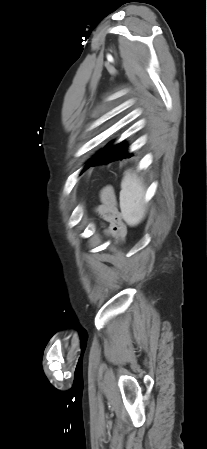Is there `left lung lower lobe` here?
Returning <instances> with one entry per match:
<instances>
[{"instance_id": "obj_1", "label": "left lung lower lobe", "mask_w": 207, "mask_h": 449, "mask_svg": "<svg viewBox=\"0 0 207 449\" xmlns=\"http://www.w3.org/2000/svg\"><path fill=\"white\" fill-rule=\"evenodd\" d=\"M132 154L127 152L125 148V143L121 142L117 145L108 144L105 148L99 152L94 159H92L84 170L90 166H95L97 164L109 163L118 159L129 158Z\"/></svg>"}]
</instances>
